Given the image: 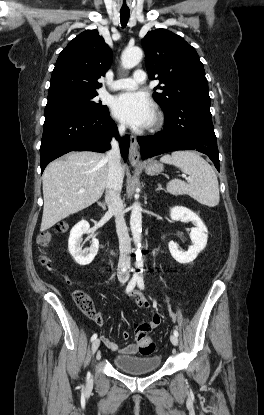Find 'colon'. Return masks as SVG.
<instances>
[{
    "label": "colon",
    "mask_w": 264,
    "mask_h": 415,
    "mask_svg": "<svg viewBox=\"0 0 264 415\" xmlns=\"http://www.w3.org/2000/svg\"><path fill=\"white\" fill-rule=\"evenodd\" d=\"M66 226L64 224L59 225L58 231L63 232L65 230ZM51 235L49 233H42L39 238L38 242L41 246H47L50 242ZM41 262L45 267H51L53 264V260L48 257L47 255H43L41 257ZM73 299L76 302L79 309L88 317H90L93 320L98 319V314L94 308V304L89 296L88 293L76 290L73 293ZM136 336L137 340L143 345V350L147 354H151L155 350V343L152 341L151 337L143 332L139 327L136 328Z\"/></svg>",
    "instance_id": "5ec220e1"
}]
</instances>
